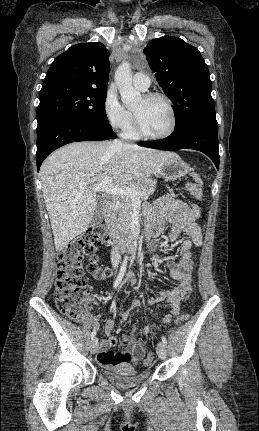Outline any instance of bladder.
I'll return each instance as SVG.
<instances>
[{
  "label": "bladder",
  "instance_id": "31cf9c89",
  "mask_svg": "<svg viewBox=\"0 0 259 431\" xmlns=\"http://www.w3.org/2000/svg\"><path fill=\"white\" fill-rule=\"evenodd\" d=\"M102 373L108 380L122 387L143 382L151 376L149 370L138 371L132 366L108 367Z\"/></svg>",
  "mask_w": 259,
  "mask_h": 431
}]
</instances>
